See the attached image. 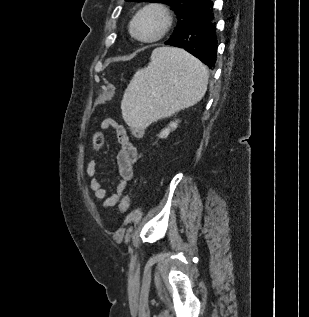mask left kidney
<instances>
[{
	"label": "left kidney",
	"instance_id": "obj_1",
	"mask_svg": "<svg viewBox=\"0 0 309 317\" xmlns=\"http://www.w3.org/2000/svg\"><path fill=\"white\" fill-rule=\"evenodd\" d=\"M177 126H178V120H176V121H174V122H171L167 128L163 129V130L160 132L159 137H160V138H167L168 135L170 134L171 130H172V129H176Z\"/></svg>",
	"mask_w": 309,
	"mask_h": 317
}]
</instances>
